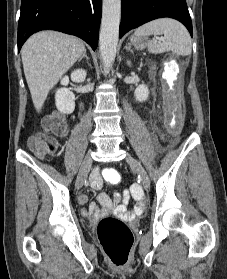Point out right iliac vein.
Wrapping results in <instances>:
<instances>
[{
	"mask_svg": "<svg viewBox=\"0 0 227 279\" xmlns=\"http://www.w3.org/2000/svg\"><path fill=\"white\" fill-rule=\"evenodd\" d=\"M91 164H92V157L91 155H87L81 165L80 171L76 178L75 187L77 190H79L83 186V183L91 167Z\"/></svg>",
	"mask_w": 227,
	"mask_h": 279,
	"instance_id": "obj_1",
	"label": "right iliac vein"
}]
</instances>
